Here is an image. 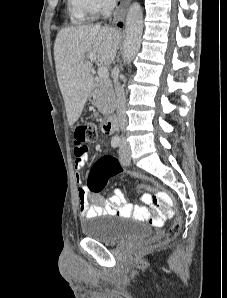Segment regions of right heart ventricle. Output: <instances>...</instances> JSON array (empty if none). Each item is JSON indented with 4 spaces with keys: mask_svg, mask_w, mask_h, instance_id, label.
I'll use <instances>...</instances> for the list:
<instances>
[{
    "mask_svg": "<svg viewBox=\"0 0 227 298\" xmlns=\"http://www.w3.org/2000/svg\"><path fill=\"white\" fill-rule=\"evenodd\" d=\"M70 5V11L78 19H83L84 16H86L84 13H82L80 10H78L76 7L73 6L72 2L69 0Z\"/></svg>",
    "mask_w": 227,
    "mask_h": 298,
    "instance_id": "e07e8e85",
    "label": "right heart ventricle"
}]
</instances>
